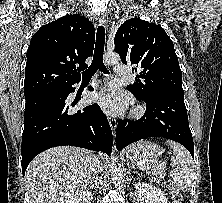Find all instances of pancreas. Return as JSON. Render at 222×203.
Wrapping results in <instances>:
<instances>
[{
    "label": "pancreas",
    "mask_w": 222,
    "mask_h": 203,
    "mask_svg": "<svg viewBox=\"0 0 222 203\" xmlns=\"http://www.w3.org/2000/svg\"><path fill=\"white\" fill-rule=\"evenodd\" d=\"M142 162L145 163L143 166H141L142 170L152 176V178L159 180L166 176L165 162L158 160H145Z\"/></svg>",
    "instance_id": "cf45deb5"
}]
</instances>
